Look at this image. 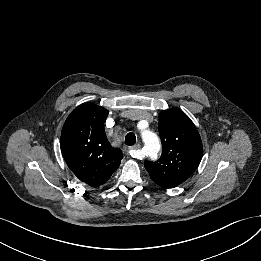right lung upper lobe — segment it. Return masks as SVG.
Returning <instances> with one entry per match:
<instances>
[{
    "mask_svg": "<svg viewBox=\"0 0 261 261\" xmlns=\"http://www.w3.org/2000/svg\"><path fill=\"white\" fill-rule=\"evenodd\" d=\"M108 110L83 103L66 119L61 132V151L75 176L91 187L106 183L120 165L122 151L107 140L104 122Z\"/></svg>",
    "mask_w": 261,
    "mask_h": 261,
    "instance_id": "obj_1",
    "label": "right lung upper lobe"
}]
</instances>
